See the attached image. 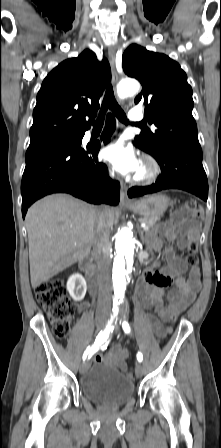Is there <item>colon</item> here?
I'll use <instances>...</instances> for the list:
<instances>
[{
	"label": "colon",
	"instance_id": "5ec220e1",
	"mask_svg": "<svg viewBox=\"0 0 221 448\" xmlns=\"http://www.w3.org/2000/svg\"><path fill=\"white\" fill-rule=\"evenodd\" d=\"M201 216L200 206L190 200L187 202L186 211L176 215L173 222L179 225L189 223L188 225L196 228ZM198 262L197 243L192 241L187 247L186 263L191 267H196ZM35 297L45 309L54 334L58 338H64L73 316V306L66 296L63 281L55 279L40 283L35 289Z\"/></svg>",
	"mask_w": 221,
	"mask_h": 448
}]
</instances>
